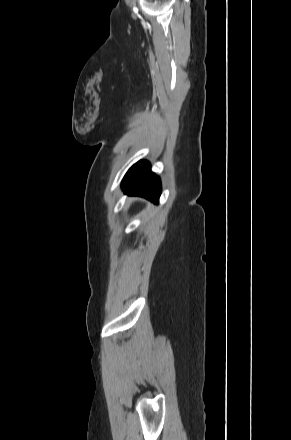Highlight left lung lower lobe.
Instances as JSON below:
<instances>
[{
    "instance_id": "obj_1",
    "label": "left lung lower lobe",
    "mask_w": 291,
    "mask_h": 440,
    "mask_svg": "<svg viewBox=\"0 0 291 440\" xmlns=\"http://www.w3.org/2000/svg\"><path fill=\"white\" fill-rule=\"evenodd\" d=\"M122 188L128 195L141 196L158 204L160 179L150 171L147 161H139L128 170L123 178Z\"/></svg>"
}]
</instances>
